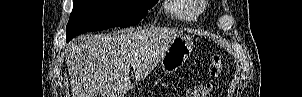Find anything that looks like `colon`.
I'll list each match as a JSON object with an SVG mask.
<instances>
[{"label":"colon","mask_w":302,"mask_h":97,"mask_svg":"<svg viewBox=\"0 0 302 97\" xmlns=\"http://www.w3.org/2000/svg\"><path fill=\"white\" fill-rule=\"evenodd\" d=\"M223 59L222 56L216 54L211 59V64L209 68L210 75L214 80H219L222 73ZM214 90V84L207 83L203 85H198L186 92V97H206Z\"/></svg>","instance_id":"1"}]
</instances>
